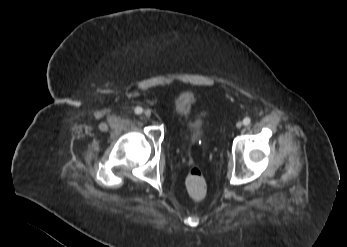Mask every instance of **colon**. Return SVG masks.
<instances>
[{"label": "colon", "instance_id": "1", "mask_svg": "<svg viewBox=\"0 0 347 247\" xmlns=\"http://www.w3.org/2000/svg\"><path fill=\"white\" fill-rule=\"evenodd\" d=\"M186 190L193 200H202L206 196L207 187L203 172L199 167H192L186 178Z\"/></svg>", "mask_w": 347, "mask_h": 247}]
</instances>
